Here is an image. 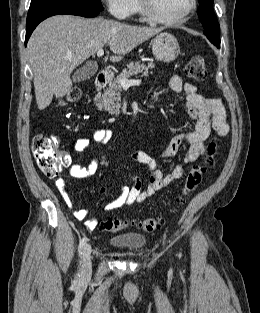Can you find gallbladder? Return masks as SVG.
Returning <instances> with one entry per match:
<instances>
[{
    "label": "gallbladder",
    "instance_id": "obj_1",
    "mask_svg": "<svg viewBox=\"0 0 260 313\" xmlns=\"http://www.w3.org/2000/svg\"><path fill=\"white\" fill-rule=\"evenodd\" d=\"M97 66L96 65H86L82 68H79L73 75V81L76 83L83 82L85 80L90 79L96 72Z\"/></svg>",
    "mask_w": 260,
    "mask_h": 313
}]
</instances>
